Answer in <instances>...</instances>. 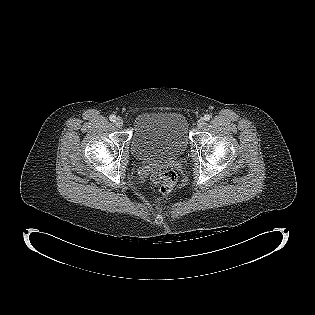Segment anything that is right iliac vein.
I'll return each mask as SVG.
<instances>
[{
	"label": "right iliac vein",
	"mask_w": 315,
	"mask_h": 315,
	"mask_svg": "<svg viewBox=\"0 0 315 315\" xmlns=\"http://www.w3.org/2000/svg\"><path fill=\"white\" fill-rule=\"evenodd\" d=\"M123 124H124V122H123V119H122V118L118 117V118L115 120V126H116L117 128L123 127Z\"/></svg>",
	"instance_id": "obj_1"
}]
</instances>
